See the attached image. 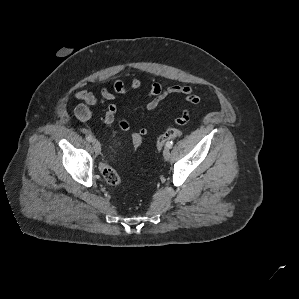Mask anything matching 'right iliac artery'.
I'll use <instances>...</instances> for the list:
<instances>
[{
    "instance_id": "right-iliac-artery-1",
    "label": "right iliac artery",
    "mask_w": 299,
    "mask_h": 299,
    "mask_svg": "<svg viewBox=\"0 0 299 299\" xmlns=\"http://www.w3.org/2000/svg\"><path fill=\"white\" fill-rule=\"evenodd\" d=\"M86 140L89 142L93 141V137L91 135H86Z\"/></svg>"
}]
</instances>
